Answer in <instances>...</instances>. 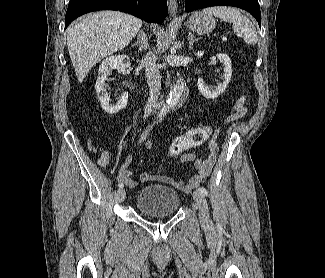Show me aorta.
<instances>
[{
  "label": "aorta",
  "mask_w": 325,
  "mask_h": 278,
  "mask_svg": "<svg viewBox=\"0 0 325 278\" xmlns=\"http://www.w3.org/2000/svg\"><path fill=\"white\" fill-rule=\"evenodd\" d=\"M184 90H185V83H184L183 79H179L176 82V84H174L173 87L171 88L170 96H169L167 104L164 105L161 108V110L159 111V113L157 115V117L159 119H162L169 110H171L172 108H175L179 104Z\"/></svg>",
  "instance_id": "1"
}]
</instances>
